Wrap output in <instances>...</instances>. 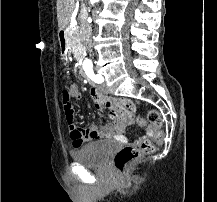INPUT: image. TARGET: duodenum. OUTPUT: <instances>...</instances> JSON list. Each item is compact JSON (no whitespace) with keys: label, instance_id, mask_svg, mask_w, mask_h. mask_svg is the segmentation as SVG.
Instances as JSON below:
<instances>
[{"label":"duodenum","instance_id":"410a0bca","mask_svg":"<svg viewBox=\"0 0 217 202\" xmlns=\"http://www.w3.org/2000/svg\"><path fill=\"white\" fill-rule=\"evenodd\" d=\"M58 41L60 46V56L62 59L67 57V33L65 29H61L58 33ZM80 76L89 83L90 86L94 87V81L92 77L84 70L80 71Z\"/></svg>","mask_w":217,"mask_h":202}]
</instances>
